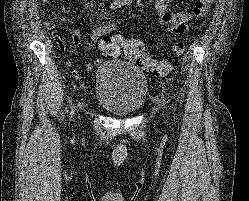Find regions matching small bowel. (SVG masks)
Wrapping results in <instances>:
<instances>
[{
    "mask_svg": "<svg viewBox=\"0 0 249 201\" xmlns=\"http://www.w3.org/2000/svg\"><path fill=\"white\" fill-rule=\"evenodd\" d=\"M172 0H155L153 5V12L157 15L160 25L165 27L169 32L174 34H183L190 29V22L195 18L205 16L212 3L215 0H196L193 6L187 7L180 12H173L169 8V4ZM116 24L112 21H108L102 24L97 30L91 35V40L94 43L99 42L101 37L114 30ZM44 27L52 34L57 42L58 48L61 51L65 50V44L59 36L56 26L51 21L44 22ZM69 32L72 37V41L75 47H78L81 40V33L76 28H69ZM102 63L101 58H97L93 63H87L85 65L86 71H92L95 66ZM65 65L70 68L73 66L71 60H66ZM72 74L74 77H79L81 71L79 69H73Z\"/></svg>",
    "mask_w": 249,
    "mask_h": 201,
    "instance_id": "1",
    "label": "small bowel"
}]
</instances>
